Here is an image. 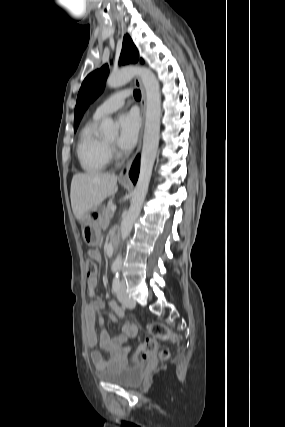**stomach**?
<instances>
[{
	"mask_svg": "<svg viewBox=\"0 0 285 427\" xmlns=\"http://www.w3.org/2000/svg\"><path fill=\"white\" fill-rule=\"evenodd\" d=\"M104 208L98 206L90 210L82 220L83 228L82 235L85 242L89 245H94L98 242L100 236V222Z\"/></svg>",
	"mask_w": 285,
	"mask_h": 427,
	"instance_id": "0dacf381",
	"label": "stomach"
}]
</instances>
